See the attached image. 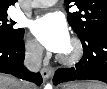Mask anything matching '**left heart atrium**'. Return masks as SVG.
I'll return each mask as SVG.
<instances>
[{
	"label": "left heart atrium",
	"instance_id": "1",
	"mask_svg": "<svg viewBox=\"0 0 107 89\" xmlns=\"http://www.w3.org/2000/svg\"><path fill=\"white\" fill-rule=\"evenodd\" d=\"M32 32L49 51L63 53L70 44V36L64 19L57 14H46L32 24Z\"/></svg>",
	"mask_w": 107,
	"mask_h": 89
}]
</instances>
